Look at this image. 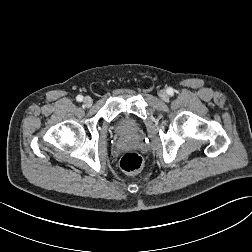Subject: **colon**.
Returning a JSON list of instances; mask_svg holds the SVG:
<instances>
[{
	"label": "colon",
	"mask_w": 252,
	"mask_h": 252,
	"mask_svg": "<svg viewBox=\"0 0 252 252\" xmlns=\"http://www.w3.org/2000/svg\"><path fill=\"white\" fill-rule=\"evenodd\" d=\"M143 165V158L134 152L124 154L120 160L122 170L130 174L139 172L143 168Z\"/></svg>",
	"instance_id": "1"
}]
</instances>
